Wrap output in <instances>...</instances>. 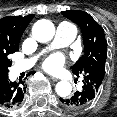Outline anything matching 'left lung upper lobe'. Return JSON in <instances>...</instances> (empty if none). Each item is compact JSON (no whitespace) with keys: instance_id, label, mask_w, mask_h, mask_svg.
I'll list each match as a JSON object with an SVG mask.
<instances>
[{"instance_id":"1","label":"left lung upper lobe","mask_w":117,"mask_h":117,"mask_svg":"<svg viewBox=\"0 0 117 117\" xmlns=\"http://www.w3.org/2000/svg\"><path fill=\"white\" fill-rule=\"evenodd\" d=\"M62 14L81 28L84 55L71 67L75 75L83 74L84 82L97 92L105 75L107 41L103 28L86 12L80 10L63 11Z\"/></svg>"}]
</instances>
